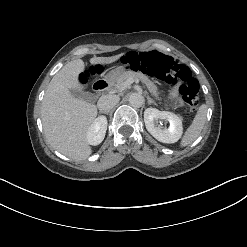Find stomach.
Instances as JSON below:
<instances>
[{
  "instance_id": "obj_1",
  "label": "stomach",
  "mask_w": 247,
  "mask_h": 247,
  "mask_svg": "<svg viewBox=\"0 0 247 247\" xmlns=\"http://www.w3.org/2000/svg\"><path fill=\"white\" fill-rule=\"evenodd\" d=\"M124 73V69L122 67L111 70L106 76L105 81L109 84L116 83L118 77Z\"/></svg>"
}]
</instances>
